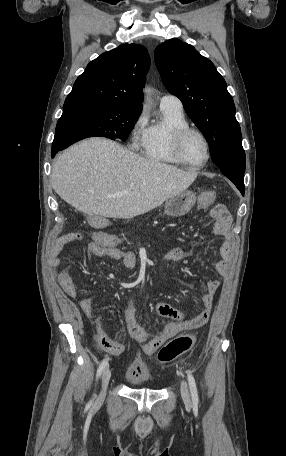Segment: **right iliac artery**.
<instances>
[{
	"instance_id": "1",
	"label": "right iliac artery",
	"mask_w": 286,
	"mask_h": 456,
	"mask_svg": "<svg viewBox=\"0 0 286 456\" xmlns=\"http://www.w3.org/2000/svg\"><path fill=\"white\" fill-rule=\"evenodd\" d=\"M108 365V360H103L101 362V364L99 365L98 369H97V378L100 377V375L102 374L103 370L106 368V366ZM93 404V400L90 401L89 405L91 406Z\"/></svg>"
}]
</instances>
